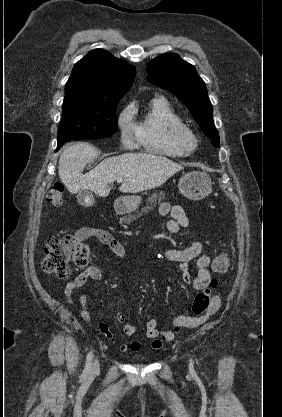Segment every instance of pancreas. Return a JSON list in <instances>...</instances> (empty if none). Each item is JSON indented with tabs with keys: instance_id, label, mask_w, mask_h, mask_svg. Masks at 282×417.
Returning <instances> with one entry per match:
<instances>
[{
	"instance_id": "pancreas-1",
	"label": "pancreas",
	"mask_w": 282,
	"mask_h": 417,
	"mask_svg": "<svg viewBox=\"0 0 282 417\" xmlns=\"http://www.w3.org/2000/svg\"><path fill=\"white\" fill-rule=\"evenodd\" d=\"M162 198H165V192H163V190H160L159 196L158 192H154V194H151V196L147 198V206H144V209H142L141 213H137V215H127V217H123V223H125V225H129L130 221H136L138 217H141L142 213H145L146 209H148V206H150L151 209V204H156V202H160Z\"/></svg>"
}]
</instances>
